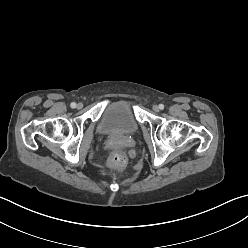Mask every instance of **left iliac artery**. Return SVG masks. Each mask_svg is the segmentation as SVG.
I'll list each match as a JSON object with an SVG mask.
<instances>
[{
  "mask_svg": "<svg viewBox=\"0 0 248 248\" xmlns=\"http://www.w3.org/2000/svg\"><path fill=\"white\" fill-rule=\"evenodd\" d=\"M159 108H160L161 110H163V109H164V105H163V104H160V105H159Z\"/></svg>",
  "mask_w": 248,
  "mask_h": 248,
  "instance_id": "obj_1",
  "label": "left iliac artery"
}]
</instances>
